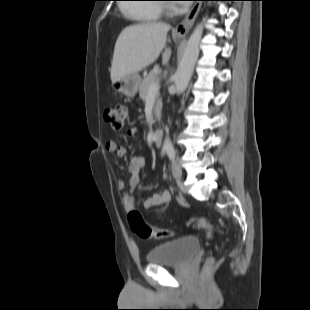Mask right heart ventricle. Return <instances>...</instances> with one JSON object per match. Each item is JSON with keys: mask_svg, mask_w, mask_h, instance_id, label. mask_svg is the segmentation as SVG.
<instances>
[{"mask_svg": "<svg viewBox=\"0 0 310 310\" xmlns=\"http://www.w3.org/2000/svg\"><path fill=\"white\" fill-rule=\"evenodd\" d=\"M148 1V0H139ZM124 13L134 20L142 23L152 22L160 17V7L156 4L151 5H132L123 8Z\"/></svg>", "mask_w": 310, "mask_h": 310, "instance_id": "e07e8e85", "label": "right heart ventricle"}]
</instances>
